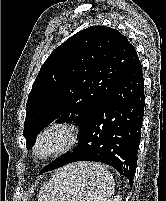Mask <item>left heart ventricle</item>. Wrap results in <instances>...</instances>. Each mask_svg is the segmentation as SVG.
I'll return each instance as SVG.
<instances>
[{"instance_id": "b2bd125f", "label": "left heart ventricle", "mask_w": 166, "mask_h": 201, "mask_svg": "<svg viewBox=\"0 0 166 201\" xmlns=\"http://www.w3.org/2000/svg\"><path fill=\"white\" fill-rule=\"evenodd\" d=\"M62 142V136L59 133H54L50 136V138L46 142L47 148H54L60 145Z\"/></svg>"}]
</instances>
